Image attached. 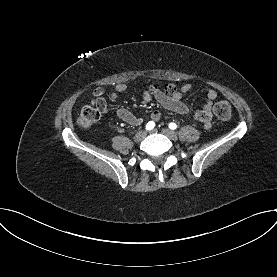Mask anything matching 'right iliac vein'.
<instances>
[{"mask_svg":"<svg viewBox=\"0 0 277 277\" xmlns=\"http://www.w3.org/2000/svg\"><path fill=\"white\" fill-rule=\"evenodd\" d=\"M147 135L146 131H139L135 136H134V140L136 142H140L142 141Z\"/></svg>","mask_w":277,"mask_h":277,"instance_id":"right-iliac-vein-1","label":"right iliac vein"}]
</instances>
